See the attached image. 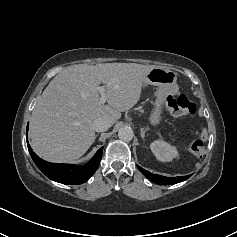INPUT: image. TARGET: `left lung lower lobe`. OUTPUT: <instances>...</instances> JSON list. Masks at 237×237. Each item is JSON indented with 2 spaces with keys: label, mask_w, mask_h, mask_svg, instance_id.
Wrapping results in <instances>:
<instances>
[{
  "label": "left lung lower lobe",
  "mask_w": 237,
  "mask_h": 237,
  "mask_svg": "<svg viewBox=\"0 0 237 237\" xmlns=\"http://www.w3.org/2000/svg\"><path fill=\"white\" fill-rule=\"evenodd\" d=\"M137 167L147 178H149L152 182H154L156 184H164V185L175 184V183L185 181L191 176V175H187V176H179V177H164L161 175L152 174V173L142 169L139 166H137Z\"/></svg>",
  "instance_id": "left-lung-lower-lobe-1"
}]
</instances>
